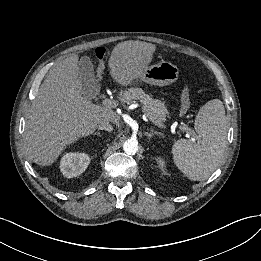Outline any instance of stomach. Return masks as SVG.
<instances>
[{
  "instance_id": "stomach-1",
  "label": "stomach",
  "mask_w": 261,
  "mask_h": 261,
  "mask_svg": "<svg viewBox=\"0 0 261 261\" xmlns=\"http://www.w3.org/2000/svg\"><path fill=\"white\" fill-rule=\"evenodd\" d=\"M178 76L179 68L176 65L168 61H162L158 64L148 66L142 75L132 82L140 80L155 86H167L176 82Z\"/></svg>"
}]
</instances>
